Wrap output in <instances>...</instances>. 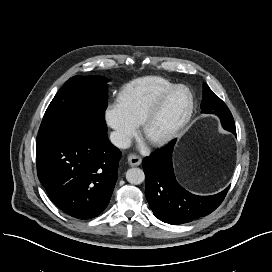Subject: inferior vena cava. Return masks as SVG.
I'll return each instance as SVG.
<instances>
[{"label":"inferior vena cava","mask_w":272,"mask_h":272,"mask_svg":"<svg viewBox=\"0 0 272 272\" xmlns=\"http://www.w3.org/2000/svg\"><path fill=\"white\" fill-rule=\"evenodd\" d=\"M110 141L118 148L126 149L131 145V139L124 133L113 131L110 134Z\"/></svg>","instance_id":"inferior-vena-cava-1"}]
</instances>
